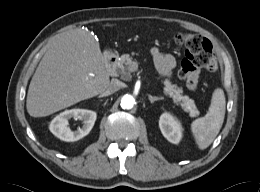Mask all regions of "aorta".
Wrapping results in <instances>:
<instances>
[{"mask_svg": "<svg viewBox=\"0 0 260 192\" xmlns=\"http://www.w3.org/2000/svg\"><path fill=\"white\" fill-rule=\"evenodd\" d=\"M136 104L135 98L132 95L126 94L121 98V107L123 109H132Z\"/></svg>", "mask_w": 260, "mask_h": 192, "instance_id": "obj_1", "label": "aorta"}]
</instances>
